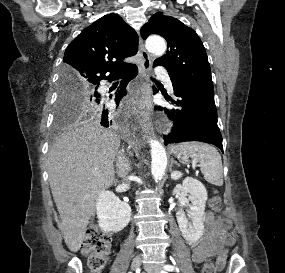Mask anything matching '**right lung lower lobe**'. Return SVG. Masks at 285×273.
<instances>
[{
  "instance_id": "obj_1",
  "label": "right lung lower lobe",
  "mask_w": 285,
  "mask_h": 273,
  "mask_svg": "<svg viewBox=\"0 0 285 273\" xmlns=\"http://www.w3.org/2000/svg\"><path fill=\"white\" fill-rule=\"evenodd\" d=\"M137 73H138L137 67L132 64L128 66L127 68H125L120 73H118L117 75L107 78V80H110V81L117 79V78H122V81L120 84L121 90H119L118 94L115 97L116 102H118L120 98L124 95L125 93L124 90L127 84L129 83L130 80H132L133 78L137 76ZM99 84L100 82L97 83V85ZM98 120L100 124L104 127H108L109 125L112 124V121H113L112 114L108 109L105 108L104 101L102 102V105H101V110H100Z\"/></svg>"
}]
</instances>
